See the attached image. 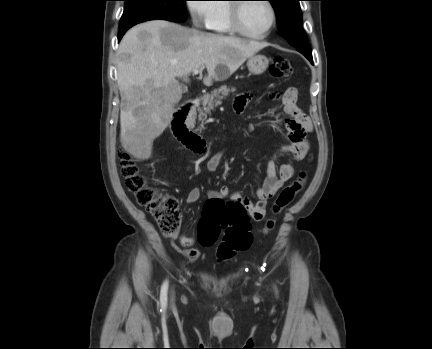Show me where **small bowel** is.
Wrapping results in <instances>:
<instances>
[{"mask_svg":"<svg viewBox=\"0 0 432 349\" xmlns=\"http://www.w3.org/2000/svg\"><path fill=\"white\" fill-rule=\"evenodd\" d=\"M274 98L280 99L283 105V111L288 116L285 121L287 128L288 143L281 147L280 152L289 153L293 159L300 161L307 155L310 144L307 140V134L312 132L313 124L311 119L297 105V90L293 87L288 88L283 94L276 95ZM252 99L251 93L239 94L233 104L234 111L237 114L242 113ZM224 156V150L213 154L206 162V168L209 171H216ZM294 168L289 163L282 164L277 168L274 159H271L266 168L264 183L256 191L257 200L251 201L243 197L238 192H232L228 186H223L219 190H209L210 200H223L230 197L232 201L243 203L253 221H261L266 215L267 201L272 198L282 186L293 176ZM201 190L197 187L192 188L187 197V204H194L199 201ZM180 244L185 248V254L190 261H196L200 257V252L192 248L194 238L187 235L179 237Z\"/></svg>","mask_w":432,"mask_h":349,"instance_id":"1","label":"small bowel"}]
</instances>
